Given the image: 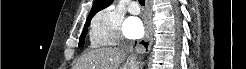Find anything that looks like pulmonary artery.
<instances>
[{
	"label": "pulmonary artery",
	"mask_w": 246,
	"mask_h": 69,
	"mask_svg": "<svg viewBox=\"0 0 246 69\" xmlns=\"http://www.w3.org/2000/svg\"><path fill=\"white\" fill-rule=\"evenodd\" d=\"M139 7H138V5H137V3H131L130 4V7H129V12L131 13V14H138L139 13Z\"/></svg>",
	"instance_id": "e3ab8cb5"
}]
</instances>
